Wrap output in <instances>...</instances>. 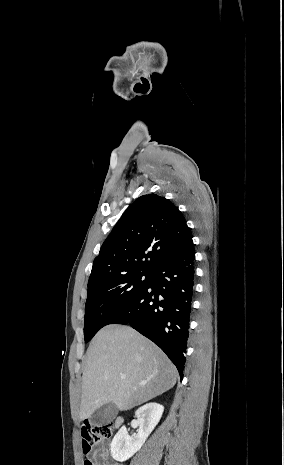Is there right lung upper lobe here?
I'll return each instance as SVG.
<instances>
[{
  "label": "right lung upper lobe",
  "instance_id": "obj_1",
  "mask_svg": "<svg viewBox=\"0 0 284 465\" xmlns=\"http://www.w3.org/2000/svg\"><path fill=\"white\" fill-rule=\"evenodd\" d=\"M191 240L190 229L172 202L156 194L143 195L126 209L102 244L88 289L128 274L151 275Z\"/></svg>",
  "mask_w": 284,
  "mask_h": 465
}]
</instances>
